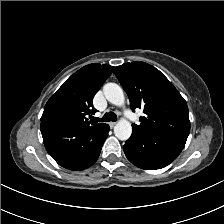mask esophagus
<instances>
[{
  "label": "esophagus",
  "instance_id": "obj_1",
  "mask_svg": "<svg viewBox=\"0 0 224 224\" xmlns=\"http://www.w3.org/2000/svg\"><path fill=\"white\" fill-rule=\"evenodd\" d=\"M116 125V122H109V126L113 128Z\"/></svg>",
  "mask_w": 224,
  "mask_h": 224
}]
</instances>
